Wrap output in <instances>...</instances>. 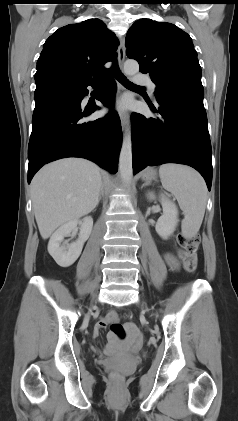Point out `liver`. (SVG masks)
<instances>
[{
    "mask_svg": "<svg viewBox=\"0 0 238 421\" xmlns=\"http://www.w3.org/2000/svg\"><path fill=\"white\" fill-rule=\"evenodd\" d=\"M101 187L100 168L85 159H61L39 170L31 183V198L42 238L90 213L98 204Z\"/></svg>",
    "mask_w": 238,
    "mask_h": 421,
    "instance_id": "liver-1",
    "label": "liver"
}]
</instances>
